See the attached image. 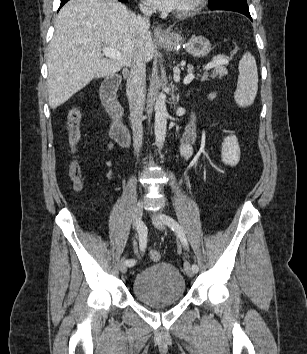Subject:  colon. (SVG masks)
Listing matches in <instances>:
<instances>
[{
	"label": "colon",
	"instance_id": "colon-1",
	"mask_svg": "<svg viewBox=\"0 0 307 354\" xmlns=\"http://www.w3.org/2000/svg\"><path fill=\"white\" fill-rule=\"evenodd\" d=\"M79 120L80 113L78 109L72 108L68 114L66 119V129H67V137L69 144L74 147L80 137L79 134ZM70 175L76 187L81 186V169L77 163H73L70 167ZM149 258L152 261H159L161 259L160 252L156 250H151L149 252Z\"/></svg>",
	"mask_w": 307,
	"mask_h": 354
}]
</instances>
